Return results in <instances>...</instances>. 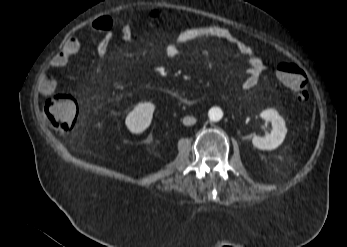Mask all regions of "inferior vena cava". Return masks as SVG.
<instances>
[{
    "mask_svg": "<svg viewBox=\"0 0 347 247\" xmlns=\"http://www.w3.org/2000/svg\"><path fill=\"white\" fill-rule=\"evenodd\" d=\"M195 123H196V118H194V117L186 116L183 119V124L184 125L188 126V125H193Z\"/></svg>",
    "mask_w": 347,
    "mask_h": 247,
    "instance_id": "602c4592",
    "label": "inferior vena cava"
}]
</instances>
